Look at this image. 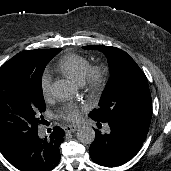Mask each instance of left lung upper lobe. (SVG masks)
Instances as JSON below:
<instances>
[{"label": "left lung upper lobe", "instance_id": "obj_1", "mask_svg": "<svg viewBox=\"0 0 171 171\" xmlns=\"http://www.w3.org/2000/svg\"><path fill=\"white\" fill-rule=\"evenodd\" d=\"M84 49L103 52L110 68V79L103 91L99 108L89 116L93 120H126L150 126L152 115L148 81L136 62L125 51L105 45H89Z\"/></svg>", "mask_w": 171, "mask_h": 171}]
</instances>
